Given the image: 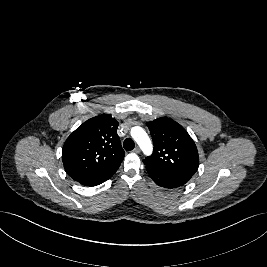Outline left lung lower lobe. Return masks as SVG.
I'll return each instance as SVG.
<instances>
[{"instance_id":"left-lung-lower-lobe-1","label":"left lung lower lobe","mask_w":267,"mask_h":267,"mask_svg":"<svg viewBox=\"0 0 267 267\" xmlns=\"http://www.w3.org/2000/svg\"><path fill=\"white\" fill-rule=\"evenodd\" d=\"M146 170L153 181L164 188H177L184 185L187 181L184 179H180L174 176L165 175L156 171L151 170L149 167L146 166Z\"/></svg>"}]
</instances>
